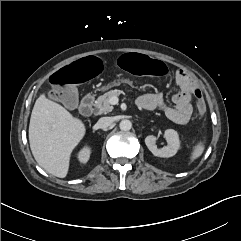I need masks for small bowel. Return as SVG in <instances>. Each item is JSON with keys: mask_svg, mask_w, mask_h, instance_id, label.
<instances>
[{"mask_svg": "<svg viewBox=\"0 0 241 241\" xmlns=\"http://www.w3.org/2000/svg\"><path fill=\"white\" fill-rule=\"evenodd\" d=\"M175 77L180 91L172 97L174 106L168 105L162 93L144 94L137 99L136 103L139 107L148 110L159 108L170 120L184 125L189 122L193 111L191 95L195 96V93L200 91L195 79L186 70H177Z\"/></svg>", "mask_w": 241, "mask_h": 241, "instance_id": "obj_1", "label": "small bowel"}]
</instances>
